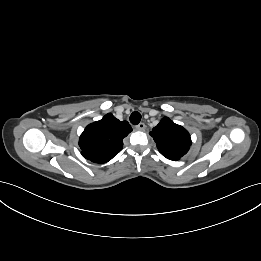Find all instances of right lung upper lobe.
<instances>
[{"label":"right lung upper lobe","instance_id":"1","mask_svg":"<svg viewBox=\"0 0 261 261\" xmlns=\"http://www.w3.org/2000/svg\"><path fill=\"white\" fill-rule=\"evenodd\" d=\"M132 131L127 121H119L111 113L89 124L79 139L81 154L95 163H106L123 147V138Z\"/></svg>","mask_w":261,"mask_h":261}]
</instances>
